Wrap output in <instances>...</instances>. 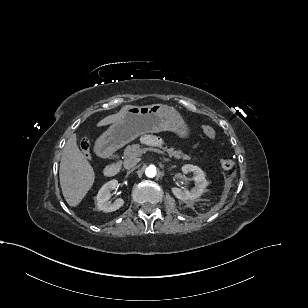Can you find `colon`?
I'll use <instances>...</instances> for the list:
<instances>
[{
    "mask_svg": "<svg viewBox=\"0 0 308 308\" xmlns=\"http://www.w3.org/2000/svg\"><path fill=\"white\" fill-rule=\"evenodd\" d=\"M203 132L207 137H209L211 139H214L217 136V133L214 130V128H212L211 126H208V125L203 126ZM80 147H81L83 153L86 156H89L90 142H89V139L86 136L81 138ZM220 165H221L222 169L230 170L234 166V161L230 158H224L220 161Z\"/></svg>",
    "mask_w": 308,
    "mask_h": 308,
    "instance_id": "colon-1",
    "label": "colon"
}]
</instances>
